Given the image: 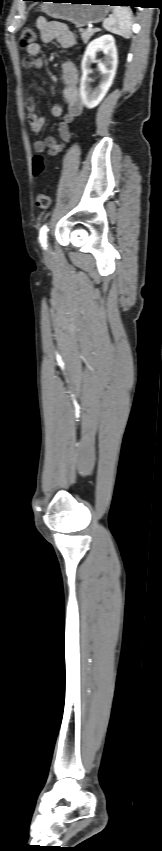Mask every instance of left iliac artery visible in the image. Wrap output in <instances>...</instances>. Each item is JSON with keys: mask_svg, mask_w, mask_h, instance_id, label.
Masks as SVG:
<instances>
[{"mask_svg": "<svg viewBox=\"0 0 162 851\" xmlns=\"http://www.w3.org/2000/svg\"><path fill=\"white\" fill-rule=\"evenodd\" d=\"M47 231H48V228H47V226H46V225H44V226L40 229L39 239H40V243L42 244V246H43V247H46V246H47V245H46Z\"/></svg>", "mask_w": 162, "mask_h": 851, "instance_id": "1", "label": "left iliac artery"}]
</instances>
